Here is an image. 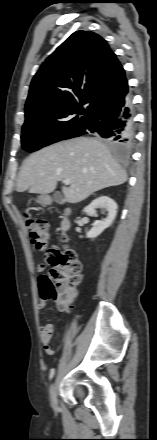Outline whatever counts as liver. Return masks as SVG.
<instances>
[{
    "mask_svg": "<svg viewBox=\"0 0 157 440\" xmlns=\"http://www.w3.org/2000/svg\"><path fill=\"white\" fill-rule=\"evenodd\" d=\"M68 203H78L92 193L126 182L127 174L100 140L78 137L47 146L26 158L17 182V191L47 195L58 181Z\"/></svg>",
    "mask_w": 157,
    "mask_h": 440,
    "instance_id": "1",
    "label": "liver"
}]
</instances>
